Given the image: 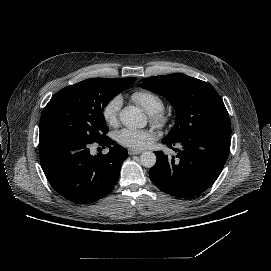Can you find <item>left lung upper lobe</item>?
Returning a JSON list of instances; mask_svg holds the SVG:
<instances>
[{
	"instance_id": "5c2ea615",
	"label": "left lung upper lobe",
	"mask_w": 271,
	"mask_h": 271,
	"mask_svg": "<svg viewBox=\"0 0 271 271\" xmlns=\"http://www.w3.org/2000/svg\"><path fill=\"white\" fill-rule=\"evenodd\" d=\"M140 86L164 95L176 109V121L164 138L179 141L203 131L231 134L229 115L215 89L182 73L143 78Z\"/></svg>"
}]
</instances>
